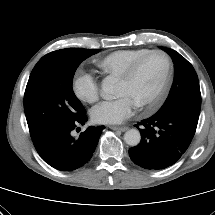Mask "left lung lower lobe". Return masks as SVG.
<instances>
[{"mask_svg": "<svg viewBox=\"0 0 215 215\" xmlns=\"http://www.w3.org/2000/svg\"><path fill=\"white\" fill-rule=\"evenodd\" d=\"M197 123L198 118L181 111L157 112L135 125L142 140L129 149L130 158L149 170L173 165L190 145Z\"/></svg>", "mask_w": 215, "mask_h": 215, "instance_id": "left-lung-lower-lobe-1", "label": "left lung lower lobe"}]
</instances>
